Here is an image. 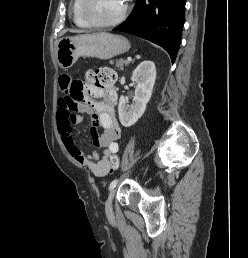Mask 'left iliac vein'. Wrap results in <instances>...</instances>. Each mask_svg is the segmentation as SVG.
<instances>
[{
    "instance_id": "1",
    "label": "left iliac vein",
    "mask_w": 248,
    "mask_h": 258,
    "mask_svg": "<svg viewBox=\"0 0 248 258\" xmlns=\"http://www.w3.org/2000/svg\"><path fill=\"white\" fill-rule=\"evenodd\" d=\"M116 189H117L116 186L113 189H111L109 196L107 198V201H106V211L107 212L111 211V206H112V202H113V199H114V196L116 193Z\"/></svg>"
}]
</instances>
